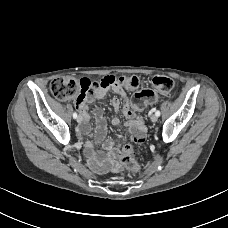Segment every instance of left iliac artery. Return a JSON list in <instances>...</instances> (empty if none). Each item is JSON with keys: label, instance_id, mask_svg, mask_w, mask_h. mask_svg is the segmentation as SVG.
<instances>
[{"label": "left iliac artery", "instance_id": "obj_1", "mask_svg": "<svg viewBox=\"0 0 228 228\" xmlns=\"http://www.w3.org/2000/svg\"><path fill=\"white\" fill-rule=\"evenodd\" d=\"M155 114H156V116H160V111L159 110H157L156 112H155Z\"/></svg>", "mask_w": 228, "mask_h": 228}]
</instances>
